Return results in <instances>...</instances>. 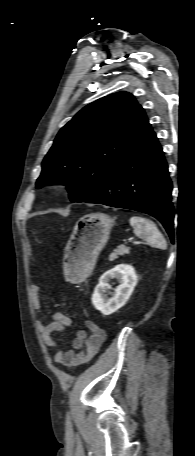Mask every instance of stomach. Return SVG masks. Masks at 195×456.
I'll use <instances>...</instances> for the list:
<instances>
[{"label":"stomach","mask_w":195,"mask_h":456,"mask_svg":"<svg viewBox=\"0 0 195 456\" xmlns=\"http://www.w3.org/2000/svg\"><path fill=\"white\" fill-rule=\"evenodd\" d=\"M113 223L104 213L87 214L76 222L64 251V269L70 281L81 282L91 274Z\"/></svg>","instance_id":"stomach-1"}]
</instances>
